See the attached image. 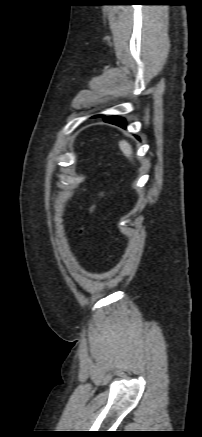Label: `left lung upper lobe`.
I'll use <instances>...</instances> for the list:
<instances>
[{"label":"left lung upper lobe","mask_w":202,"mask_h":437,"mask_svg":"<svg viewBox=\"0 0 202 437\" xmlns=\"http://www.w3.org/2000/svg\"><path fill=\"white\" fill-rule=\"evenodd\" d=\"M100 116H102V117H103V115H99V116H95V117H100Z\"/></svg>","instance_id":"obj_1"}]
</instances>
